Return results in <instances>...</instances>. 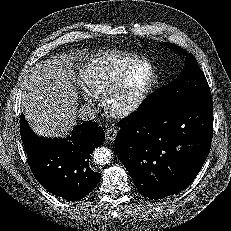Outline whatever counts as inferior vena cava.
<instances>
[{
	"label": "inferior vena cava",
	"mask_w": 231,
	"mask_h": 231,
	"mask_svg": "<svg viewBox=\"0 0 231 231\" xmlns=\"http://www.w3.org/2000/svg\"><path fill=\"white\" fill-rule=\"evenodd\" d=\"M79 118L88 121V120H94L96 118L95 110L91 106H82L79 109Z\"/></svg>",
	"instance_id": "inferior-vena-cava-1"
}]
</instances>
